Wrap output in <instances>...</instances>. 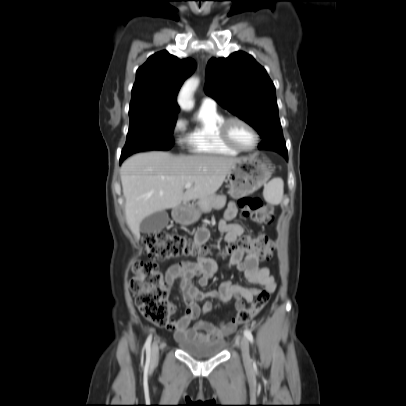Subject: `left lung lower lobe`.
<instances>
[{
    "instance_id": "left-lung-lower-lobe-1",
    "label": "left lung lower lobe",
    "mask_w": 406,
    "mask_h": 406,
    "mask_svg": "<svg viewBox=\"0 0 406 406\" xmlns=\"http://www.w3.org/2000/svg\"><path fill=\"white\" fill-rule=\"evenodd\" d=\"M286 159H288V154L287 153H285V154H282Z\"/></svg>"
}]
</instances>
